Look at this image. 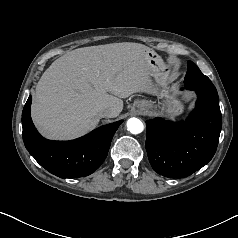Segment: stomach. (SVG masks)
<instances>
[{
	"mask_svg": "<svg viewBox=\"0 0 238 238\" xmlns=\"http://www.w3.org/2000/svg\"><path fill=\"white\" fill-rule=\"evenodd\" d=\"M144 57L154 72V80L157 86L161 88L158 102L136 101L134 107L138 109H147L166 115L174 119L183 112L184 105L180 99L172 94L170 82L172 80L170 68L163 62L162 58L151 48L144 49ZM146 105V107H145Z\"/></svg>",
	"mask_w": 238,
	"mask_h": 238,
	"instance_id": "0dacf381",
	"label": "stomach"
}]
</instances>
